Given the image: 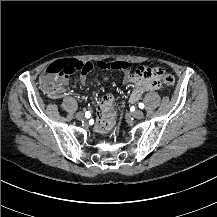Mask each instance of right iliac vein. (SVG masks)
<instances>
[{"label":"right iliac vein","instance_id":"1","mask_svg":"<svg viewBox=\"0 0 217 217\" xmlns=\"http://www.w3.org/2000/svg\"><path fill=\"white\" fill-rule=\"evenodd\" d=\"M76 118L78 120H83L85 118L83 112H77L76 113Z\"/></svg>","mask_w":217,"mask_h":217}]
</instances>
